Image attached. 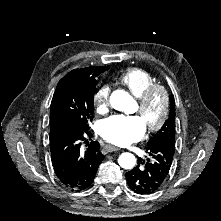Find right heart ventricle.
I'll list each match as a JSON object with an SVG mask.
<instances>
[{
    "mask_svg": "<svg viewBox=\"0 0 221 221\" xmlns=\"http://www.w3.org/2000/svg\"><path fill=\"white\" fill-rule=\"evenodd\" d=\"M116 81L125 86L137 98H140L149 87L156 84L155 77L149 71L139 67L128 68L116 77Z\"/></svg>",
    "mask_w": 221,
    "mask_h": 221,
    "instance_id": "1",
    "label": "right heart ventricle"
}]
</instances>
